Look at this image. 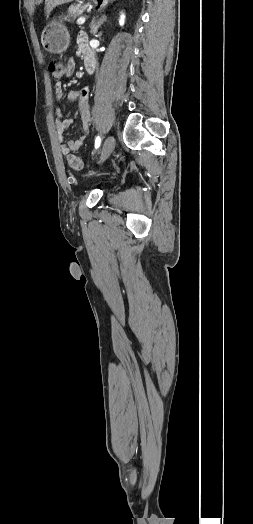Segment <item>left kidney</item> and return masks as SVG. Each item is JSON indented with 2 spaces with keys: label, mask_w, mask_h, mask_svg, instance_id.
<instances>
[{
  "label": "left kidney",
  "mask_w": 253,
  "mask_h": 524,
  "mask_svg": "<svg viewBox=\"0 0 253 524\" xmlns=\"http://www.w3.org/2000/svg\"><path fill=\"white\" fill-rule=\"evenodd\" d=\"M124 22H125V15H124V13H122V14L120 15L119 24H120V25H123Z\"/></svg>",
  "instance_id": "1"
}]
</instances>
